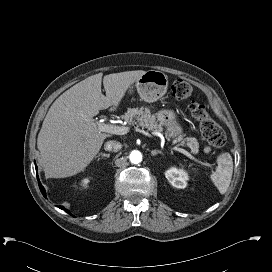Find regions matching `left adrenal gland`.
<instances>
[{
  "label": "left adrenal gland",
  "mask_w": 272,
  "mask_h": 272,
  "mask_svg": "<svg viewBox=\"0 0 272 272\" xmlns=\"http://www.w3.org/2000/svg\"><path fill=\"white\" fill-rule=\"evenodd\" d=\"M162 152L160 150H152L151 155L154 156L156 154H161Z\"/></svg>",
  "instance_id": "a2214340"
}]
</instances>
